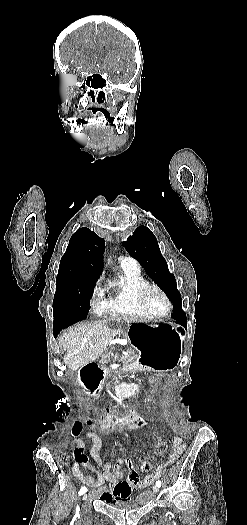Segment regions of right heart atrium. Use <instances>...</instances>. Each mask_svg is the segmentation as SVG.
<instances>
[{
    "mask_svg": "<svg viewBox=\"0 0 247 525\" xmlns=\"http://www.w3.org/2000/svg\"><path fill=\"white\" fill-rule=\"evenodd\" d=\"M103 276H98L91 284L89 301L91 310L100 314L103 307L109 303V299L106 297V292L102 286Z\"/></svg>",
    "mask_w": 247,
    "mask_h": 525,
    "instance_id": "d8ad5b80",
    "label": "right heart atrium"
}]
</instances>
